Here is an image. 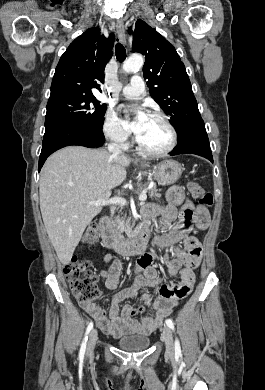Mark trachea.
Instances as JSON below:
<instances>
[{
  "label": "trachea",
  "instance_id": "1",
  "mask_svg": "<svg viewBox=\"0 0 265 390\" xmlns=\"http://www.w3.org/2000/svg\"><path fill=\"white\" fill-rule=\"evenodd\" d=\"M116 58L118 61H124L126 58V50L124 46L120 43H117L115 46Z\"/></svg>",
  "mask_w": 265,
  "mask_h": 390
}]
</instances>
